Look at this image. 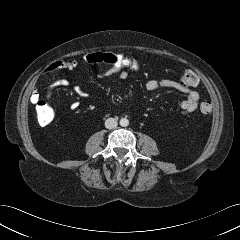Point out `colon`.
Returning <instances> with one entry per match:
<instances>
[{
  "label": "colon",
  "instance_id": "5ec220e1",
  "mask_svg": "<svg viewBox=\"0 0 240 240\" xmlns=\"http://www.w3.org/2000/svg\"><path fill=\"white\" fill-rule=\"evenodd\" d=\"M84 60L90 64H103L110 66L116 72H135L140 69L141 63L139 58L134 56H126L112 52H94L84 56ZM180 84L186 88L195 87L198 82L197 74L192 70H185L179 79ZM35 111L37 120L40 125L46 126L54 119V111L45 102L38 101L35 103ZM199 111L208 116L211 113V104L209 101H203L199 106Z\"/></svg>",
  "mask_w": 240,
  "mask_h": 240
}]
</instances>
